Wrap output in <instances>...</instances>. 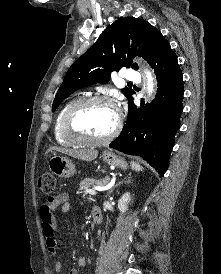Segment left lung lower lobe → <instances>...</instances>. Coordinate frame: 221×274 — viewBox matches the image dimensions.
<instances>
[{
	"instance_id": "1",
	"label": "left lung lower lobe",
	"mask_w": 221,
	"mask_h": 274,
	"mask_svg": "<svg viewBox=\"0 0 221 274\" xmlns=\"http://www.w3.org/2000/svg\"><path fill=\"white\" fill-rule=\"evenodd\" d=\"M157 76L155 99L137 108L129 98L128 118L120 135L110 147L129 155L143 157L160 176L166 172L174 136L180 127L184 93L183 76L169 42L149 61Z\"/></svg>"
}]
</instances>
